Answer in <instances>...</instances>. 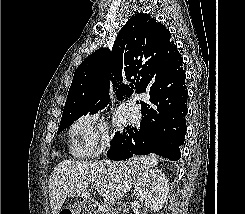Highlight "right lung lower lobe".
I'll return each mask as SVG.
<instances>
[{
	"mask_svg": "<svg viewBox=\"0 0 245 214\" xmlns=\"http://www.w3.org/2000/svg\"><path fill=\"white\" fill-rule=\"evenodd\" d=\"M185 77L173 79L169 70L161 68L150 74L146 83L149 103L142 104V121L138 128L120 134V141L111 145L107 156L125 160L134 155L155 153L176 161L179 146L186 133L187 89Z\"/></svg>",
	"mask_w": 245,
	"mask_h": 214,
	"instance_id": "98d812e1",
	"label": "right lung lower lobe"
}]
</instances>
